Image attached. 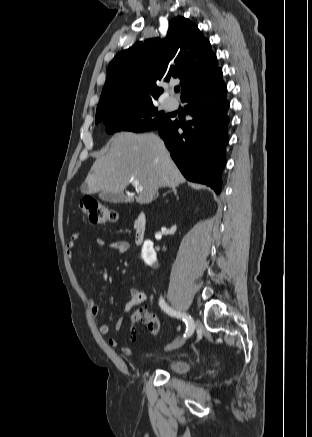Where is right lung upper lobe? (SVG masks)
Masks as SVG:
<instances>
[{
    "instance_id": "obj_1",
    "label": "right lung upper lobe",
    "mask_w": 312,
    "mask_h": 437,
    "mask_svg": "<svg viewBox=\"0 0 312 437\" xmlns=\"http://www.w3.org/2000/svg\"><path fill=\"white\" fill-rule=\"evenodd\" d=\"M221 72L209 41L195 24L178 16L170 21L164 40L138 42L113 58L96 119L125 106L153 102L163 92L157 81L181 79L183 99Z\"/></svg>"
}]
</instances>
